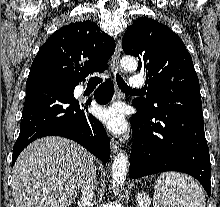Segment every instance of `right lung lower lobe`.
I'll list each match as a JSON object with an SVG mask.
<instances>
[{
    "instance_id": "98d812e1",
    "label": "right lung lower lobe",
    "mask_w": 220,
    "mask_h": 207,
    "mask_svg": "<svg viewBox=\"0 0 220 207\" xmlns=\"http://www.w3.org/2000/svg\"><path fill=\"white\" fill-rule=\"evenodd\" d=\"M78 84L52 77L27 79L21 129L13 147L12 166L24 147L45 136L72 139L103 162L109 160L110 140L103 125L88 114L91 102L79 103L73 97ZM113 92V83L107 80L95 95L96 101L107 103Z\"/></svg>"
}]
</instances>
